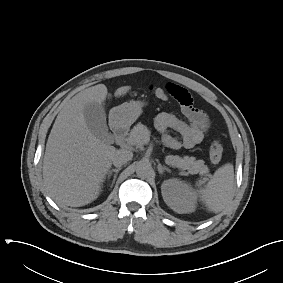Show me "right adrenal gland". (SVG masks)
I'll return each instance as SVG.
<instances>
[{
	"instance_id": "right-adrenal-gland-1",
	"label": "right adrenal gland",
	"mask_w": 283,
	"mask_h": 283,
	"mask_svg": "<svg viewBox=\"0 0 283 283\" xmlns=\"http://www.w3.org/2000/svg\"><path fill=\"white\" fill-rule=\"evenodd\" d=\"M120 170H121V168L118 167L117 169H111V170L108 171V174H107V179H108V180L110 179L111 175H112L113 173H115V174H114V179H113L112 184H111V188L113 187V185H114V183H115V181H116V178H117V174L119 173Z\"/></svg>"
}]
</instances>
